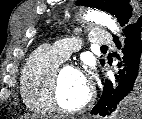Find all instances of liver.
<instances>
[{
    "label": "liver",
    "mask_w": 142,
    "mask_h": 119,
    "mask_svg": "<svg viewBox=\"0 0 142 119\" xmlns=\"http://www.w3.org/2000/svg\"><path fill=\"white\" fill-rule=\"evenodd\" d=\"M24 118H25V119H29L30 117H29V116H25ZM33 119H34V117H33Z\"/></svg>",
    "instance_id": "6515ba94"
}]
</instances>
